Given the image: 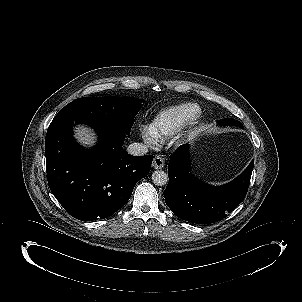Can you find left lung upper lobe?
Masks as SVG:
<instances>
[{
  "label": "left lung upper lobe",
  "mask_w": 302,
  "mask_h": 302,
  "mask_svg": "<svg viewBox=\"0 0 302 302\" xmlns=\"http://www.w3.org/2000/svg\"><path fill=\"white\" fill-rule=\"evenodd\" d=\"M219 123L223 125H233V126L243 127V125L238 120L235 119H221L219 120Z\"/></svg>",
  "instance_id": "left-lung-upper-lobe-1"
}]
</instances>
